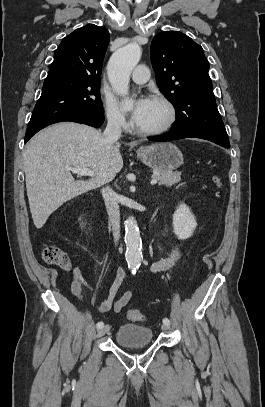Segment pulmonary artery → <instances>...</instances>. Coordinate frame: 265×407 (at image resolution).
Listing matches in <instances>:
<instances>
[{
	"mask_svg": "<svg viewBox=\"0 0 265 407\" xmlns=\"http://www.w3.org/2000/svg\"><path fill=\"white\" fill-rule=\"evenodd\" d=\"M149 69L145 65H138L132 72L131 79L136 84H143L149 78Z\"/></svg>",
	"mask_w": 265,
	"mask_h": 407,
	"instance_id": "pulmonary-artery-1",
	"label": "pulmonary artery"
}]
</instances>
